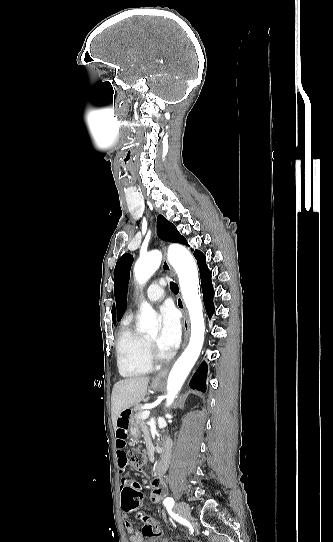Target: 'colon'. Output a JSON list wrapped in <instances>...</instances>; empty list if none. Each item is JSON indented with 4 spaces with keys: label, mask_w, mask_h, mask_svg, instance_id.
<instances>
[{
    "label": "colon",
    "mask_w": 333,
    "mask_h": 542,
    "mask_svg": "<svg viewBox=\"0 0 333 542\" xmlns=\"http://www.w3.org/2000/svg\"><path fill=\"white\" fill-rule=\"evenodd\" d=\"M130 458L129 465L140 471L145 464L146 454L140 450H134L127 453ZM143 492L140 483H130L129 487H124L122 492V503L124 504V513L126 516H135L138 522L143 520L142 532H144L150 538H158V528L153 526L154 518L151 515H147L146 511L139 513V502L142 500Z\"/></svg>",
    "instance_id": "5ec220e1"
}]
</instances>
